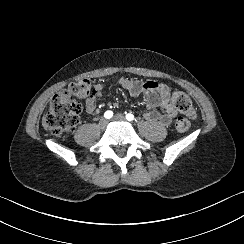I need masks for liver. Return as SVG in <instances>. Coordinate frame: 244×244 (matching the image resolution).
<instances>
[{
  "label": "liver",
  "instance_id": "6515ba94",
  "mask_svg": "<svg viewBox=\"0 0 244 244\" xmlns=\"http://www.w3.org/2000/svg\"><path fill=\"white\" fill-rule=\"evenodd\" d=\"M46 117H45V115L42 117V126H43V128H44V130H48V128H47V124H46Z\"/></svg>",
  "mask_w": 244,
  "mask_h": 244
}]
</instances>
